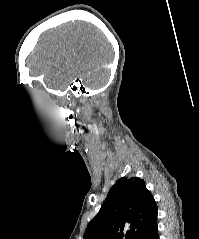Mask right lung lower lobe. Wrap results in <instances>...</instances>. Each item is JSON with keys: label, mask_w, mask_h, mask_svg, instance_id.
Instances as JSON below:
<instances>
[{"label": "right lung lower lobe", "mask_w": 199, "mask_h": 239, "mask_svg": "<svg viewBox=\"0 0 199 239\" xmlns=\"http://www.w3.org/2000/svg\"><path fill=\"white\" fill-rule=\"evenodd\" d=\"M136 239H159L157 218L153 220Z\"/></svg>", "instance_id": "right-lung-lower-lobe-1"}]
</instances>
